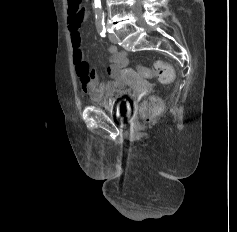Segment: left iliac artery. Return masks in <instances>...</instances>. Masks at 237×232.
<instances>
[{
	"label": "left iliac artery",
	"instance_id": "44dca946",
	"mask_svg": "<svg viewBox=\"0 0 237 232\" xmlns=\"http://www.w3.org/2000/svg\"><path fill=\"white\" fill-rule=\"evenodd\" d=\"M96 27H97V31L99 32V34L102 37H105L106 30H105L104 23H98Z\"/></svg>",
	"mask_w": 237,
	"mask_h": 232
}]
</instances>
